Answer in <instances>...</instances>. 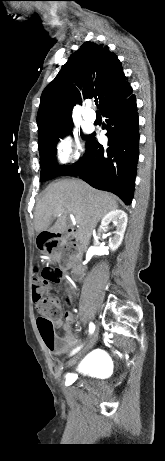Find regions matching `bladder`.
Masks as SVG:
<instances>
[{
  "label": "bladder",
  "mask_w": 165,
  "mask_h": 461,
  "mask_svg": "<svg viewBox=\"0 0 165 461\" xmlns=\"http://www.w3.org/2000/svg\"><path fill=\"white\" fill-rule=\"evenodd\" d=\"M104 362L100 356L83 359L80 364V372L82 374L93 375L99 374L104 369Z\"/></svg>",
  "instance_id": "1"
}]
</instances>
